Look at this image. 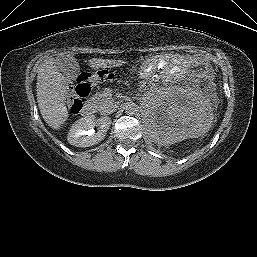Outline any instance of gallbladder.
<instances>
[{"label":"gallbladder","mask_w":257,"mask_h":257,"mask_svg":"<svg viewBox=\"0 0 257 257\" xmlns=\"http://www.w3.org/2000/svg\"><path fill=\"white\" fill-rule=\"evenodd\" d=\"M55 65L58 70L68 79L74 80L80 74V67L77 60L68 53L57 55Z\"/></svg>","instance_id":"bac80fb5"}]
</instances>
